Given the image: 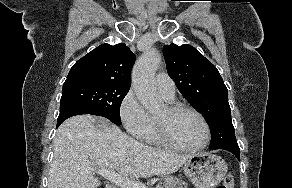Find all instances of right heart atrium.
Returning <instances> with one entry per match:
<instances>
[{
  "label": "right heart atrium",
  "mask_w": 292,
  "mask_h": 188,
  "mask_svg": "<svg viewBox=\"0 0 292 188\" xmlns=\"http://www.w3.org/2000/svg\"><path fill=\"white\" fill-rule=\"evenodd\" d=\"M120 119L135 139H144L152 125V118L145 111L136 94L130 90L123 97L119 106Z\"/></svg>",
  "instance_id": "obj_1"
}]
</instances>
